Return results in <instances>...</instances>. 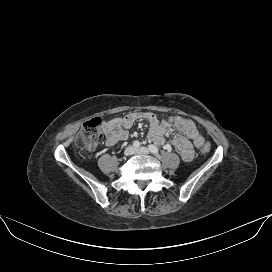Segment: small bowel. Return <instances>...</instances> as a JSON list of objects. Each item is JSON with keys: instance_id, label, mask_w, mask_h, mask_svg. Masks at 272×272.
Instances as JSON below:
<instances>
[{"instance_id": "obj_1", "label": "small bowel", "mask_w": 272, "mask_h": 272, "mask_svg": "<svg viewBox=\"0 0 272 272\" xmlns=\"http://www.w3.org/2000/svg\"><path fill=\"white\" fill-rule=\"evenodd\" d=\"M147 121L150 127L148 138L150 141L162 145L170 130H175L177 134L172 138L167 148L175 147L181 158L191 161L194 157V148H199L204 144V138L198 131L193 121L184 117H171L164 121H159L150 112H132L123 117H116L103 123L106 135V144L114 146L120 141L128 138V130L138 121Z\"/></svg>"}]
</instances>
